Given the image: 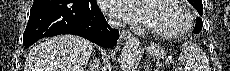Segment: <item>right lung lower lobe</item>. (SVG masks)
<instances>
[{
    "label": "right lung lower lobe",
    "mask_w": 230,
    "mask_h": 71,
    "mask_svg": "<svg viewBox=\"0 0 230 71\" xmlns=\"http://www.w3.org/2000/svg\"><path fill=\"white\" fill-rule=\"evenodd\" d=\"M59 34L78 35L105 48L113 47L119 38V31L108 25L96 0H34L24 47Z\"/></svg>",
    "instance_id": "right-lung-lower-lobe-1"
}]
</instances>
